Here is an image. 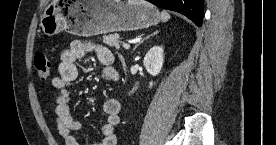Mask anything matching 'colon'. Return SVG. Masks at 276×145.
Listing matches in <instances>:
<instances>
[{"mask_svg": "<svg viewBox=\"0 0 276 145\" xmlns=\"http://www.w3.org/2000/svg\"><path fill=\"white\" fill-rule=\"evenodd\" d=\"M37 76L40 80H47L51 74V63L44 53H37L34 60Z\"/></svg>", "mask_w": 276, "mask_h": 145, "instance_id": "5ec220e1", "label": "colon"}]
</instances>
